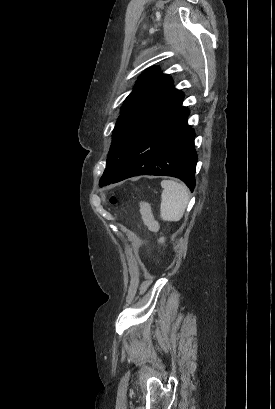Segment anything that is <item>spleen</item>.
Masks as SVG:
<instances>
[{
  "mask_svg": "<svg viewBox=\"0 0 275 409\" xmlns=\"http://www.w3.org/2000/svg\"><path fill=\"white\" fill-rule=\"evenodd\" d=\"M160 217L162 221H180L188 205L189 190L183 182L162 180Z\"/></svg>",
  "mask_w": 275,
  "mask_h": 409,
  "instance_id": "obj_1",
  "label": "spleen"
}]
</instances>
